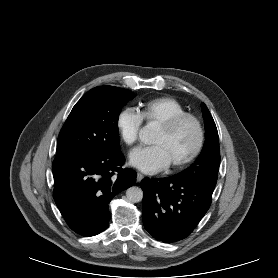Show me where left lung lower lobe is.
<instances>
[{"mask_svg": "<svg viewBox=\"0 0 278 278\" xmlns=\"http://www.w3.org/2000/svg\"><path fill=\"white\" fill-rule=\"evenodd\" d=\"M215 185L173 176L142 180L145 229L165 243L186 238L209 209Z\"/></svg>", "mask_w": 278, "mask_h": 278, "instance_id": "0a47b994", "label": "left lung lower lobe"}]
</instances>
